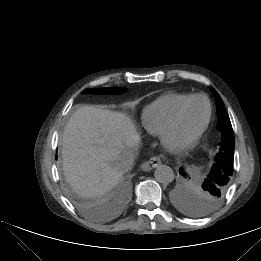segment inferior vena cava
<instances>
[{
    "instance_id": "obj_1",
    "label": "inferior vena cava",
    "mask_w": 261,
    "mask_h": 261,
    "mask_svg": "<svg viewBox=\"0 0 261 261\" xmlns=\"http://www.w3.org/2000/svg\"><path fill=\"white\" fill-rule=\"evenodd\" d=\"M135 160V152L133 150L124 151L116 160V166L122 173L129 171Z\"/></svg>"
}]
</instances>
